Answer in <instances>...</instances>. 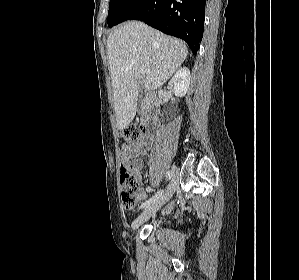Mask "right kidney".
I'll use <instances>...</instances> for the list:
<instances>
[{
  "mask_svg": "<svg viewBox=\"0 0 299 280\" xmlns=\"http://www.w3.org/2000/svg\"><path fill=\"white\" fill-rule=\"evenodd\" d=\"M190 78V71L186 67L179 69L172 77L169 82V86L172 88L177 97H183L186 95L190 85Z\"/></svg>",
  "mask_w": 299,
  "mask_h": 280,
  "instance_id": "obj_1",
  "label": "right kidney"
}]
</instances>
